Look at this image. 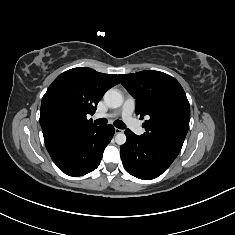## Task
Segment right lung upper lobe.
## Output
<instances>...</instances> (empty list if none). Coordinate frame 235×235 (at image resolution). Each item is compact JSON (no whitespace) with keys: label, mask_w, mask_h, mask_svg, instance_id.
<instances>
[{"label":"right lung upper lobe","mask_w":235,"mask_h":235,"mask_svg":"<svg viewBox=\"0 0 235 235\" xmlns=\"http://www.w3.org/2000/svg\"><path fill=\"white\" fill-rule=\"evenodd\" d=\"M119 83L115 74L78 67L60 74L41 102L40 124L46 144L96 126L93 115L104 93Z\"/></svg>","instance_id":"1"}]
</instances>
